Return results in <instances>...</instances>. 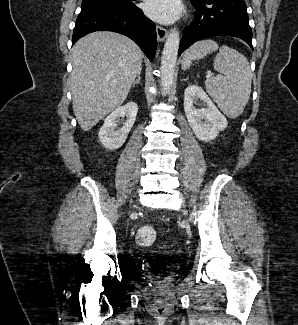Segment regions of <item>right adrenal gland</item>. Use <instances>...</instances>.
I'll use <instances>...</instances> for the list:
<instances>
[{
    "label": "right adrenal gland",
    "instance_id": "1",
    "mask_svg": "<svg viewBox=\"0 0 298 325\" xmlns=\"http://www.w3.org/2000/svg\"><path fill=\"white\" fill-rule=\"evenodd\" d=\"M136 82H141V70H140V72H138L137 78H135V80H133L132 86H135Z\"/></svg>",
    "mask_w": 298,
    "mask_h": 325
}]
</instances>
